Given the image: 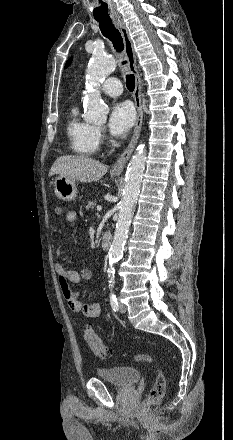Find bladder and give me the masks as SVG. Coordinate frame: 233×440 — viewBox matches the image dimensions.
Wrapping results in <instances>:
<instances>
[{"instance_id": "1", "label": "bladder", "mask_w": 233, "mask_h": 440, "mask_svg": "<svg viewBox=\"0 0 233 440\" xmlns=\"http://www.w3.org/2000/svg\"><path fill=\"white\" fill-rule=\"evenodd\" d=\"M97 378L121 388L133 387L141 378V372L134 367H113L95 371Z\"/></svg>"}]
</instances>
